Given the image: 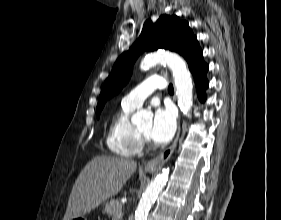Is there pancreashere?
<instances>
[{
    "instance_id": "cf45deb5",
    "label": "pancreas",
    "mask_w": 281,
    "mask_h": 220,
    "mask_svg": "<svg viewBox=\"0 0 281 220\" xmlns=\"http://www.w3.org/2000/svg\"><path fill=\"white\" fill-rule=\"evenodd\" d=\"M122 212V205L117 199H112L105 204L104 213L109 217H112V220H122V216L118 217L117 213Z\"/></svg>"
}]
</instances>
